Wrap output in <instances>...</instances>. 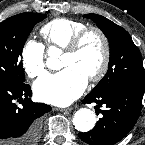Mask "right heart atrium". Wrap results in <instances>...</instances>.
Wrapping results in <instances>:
<instances>
[{
	"mask_svg": "<svg viewBox=\"0 0 145 145\" xmlns=\"http://www.w3.org/2000/svg\"><path fill=\"white\" fill-rule=\"evenodd\" d=\"M21 62L30 78L42 76L46 72L44 46L35 40H28L21 52Z\"/></svg>",
	"mask_w": 145,
	"mask_h": 145,
	"instance_id": "obj_1",
	"label": "right heart atrium"
}]
</instances>
